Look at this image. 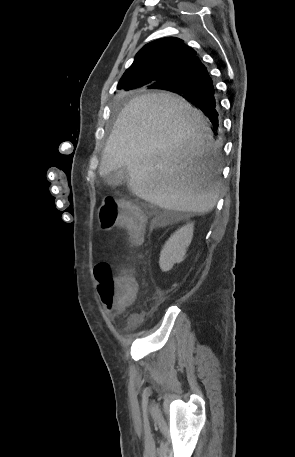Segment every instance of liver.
<instances>
[{
    "label": "liver",
    "mask_w": 295,
    "mask_h": 457,
    "mask_svg": "<svg viewBox=\"0 0 295 457\" xmlns=\"http://www.w3.org/2000/svg\"><path fill=\"white\" fill-rule=\"evenodd\" d=\"M122 167L133 194L160 208L205 214L218 201L221 159L213 150L211 129L201 111L175 94H144L122 109L99 174Z\"/></svg>",
    "instance_id": "1"
}]
</instances>
